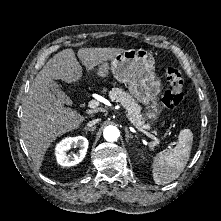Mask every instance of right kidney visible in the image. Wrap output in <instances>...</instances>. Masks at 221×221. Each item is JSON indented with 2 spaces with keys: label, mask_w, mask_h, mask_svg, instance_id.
<instances>
[{
  "label": "right kidney",
  "mask_w": 221,
  "mask_h": 221,
  "mask_svg": "<svg viewBox=\"0 0 221 221\" xmlns=\"http://www.w3.org/2000/svg\"><path fill=\"white\" fill-rule=\"evenodd\" d=\"M89 142L84 136L67 137L56 145L55 156L62 166H74L81 162L87 152ZM78 147L76 154H68L71 147Z\"/></svg>",
  "instance_id": "right-kidney-1"
}]
</instances>
